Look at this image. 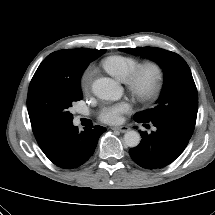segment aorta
<instances>
[{"mask_svg":"<svg viewBox=\"0 0 215 215\" xmlns=\"http://www.w3.org/2000/svg\"><path fill=\"white\" fill-rule=\"evenodd\" d=\"M95 96L104 100H118L122 96V88L111 78L102 77L96 79L92 84ZM141 136L137 131L131 130L124 134V143L128 147L139 145Z\"/></svg>","mask_w":215,"mask_h":215,"instance_id":"aorta-1","label":"aorta"}]
</instances>
